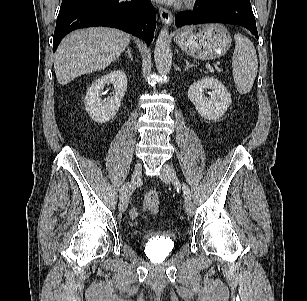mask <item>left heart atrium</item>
Wrapping results in <instances>:
<instances>
[{"mask_svg":"<svg viewBox=\"0 0 307 301\" xmlns=\"http://www.w3.org/2000/svg\"><path fill=\"white\" fill-rule=\"evenodd\" d=\"M158 1L172 2L174 0H158Z\"/></svg>","mask_w":307,"mask_h":301,"instance_id":"obj_1","label":"left heart atrium"}]
</instances>
